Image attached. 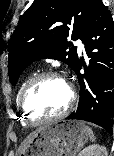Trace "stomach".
Wrapping results in <instances>:
<instances>
[{
    "label": "stomach",
    "mask_w": 114,
    "mask_h": 156,
    "mask_svg": "<svg viewBox=\"0 0 114 156\" xmlns=\"http://www.w3.org/2000/svg\"><path fill=\"white\" fill-rule=\"evenodd\" d=\"M88 139L87 126L77 120L55 122L42 127L23 156H74Z\"/></svg>",
    "instance_id": "stomach-1"
}]
</instances>
